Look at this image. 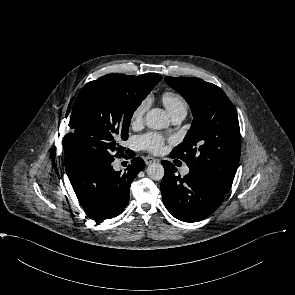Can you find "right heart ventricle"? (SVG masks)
<instances>
[{
    "mask_svg": "<svg viewBox=\"0 0 295 295\" xmlns=\"http://www.w3.org/2000/svg\"><path fill=\"white\" fill-rule=\"evenodd\" d=\"M162 103L170 113L171 117L184 115L188 111L186 99L175 91H165L161 96Z\"/></svg>",
    "mask_w": 295,
    "mask_h": 295,
    "instance_id": "e07e8e85",
    "label": "right heart ventricle"
}]
</instances>
